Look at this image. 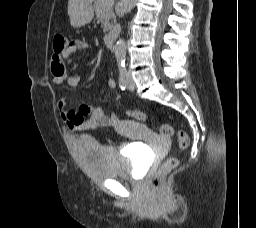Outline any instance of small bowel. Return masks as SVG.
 I'll return each mask as SVG.
<instances>
[{
  "mask_svg": "<svg viewBox=\"0 0 256 228\" xmlns=\"http://www.w3.org/2000/svg\"><path fill=\"white\" fill-rule=\"evenodd\" d=\"M89 48L90 44L88 42L76 39L71 41L61 53H54L51 57L53 83H66L72 89L77 88L80 83V78L67 74L64 60L80 50ZM107 88L110 91L115 90V81L112 79L108 80ZM57 106L62 119L72 131H85L108 126L118 127L120 124L116 115H106L98 106L81 104L78 108L71 109L68 107V102L65 97L58 100Z\"/></svg>",
  "mask_w": 256,
  "mask_h": 228,
  "instance_id": "1",
  "label": "small bowel"
}]
</instances>
